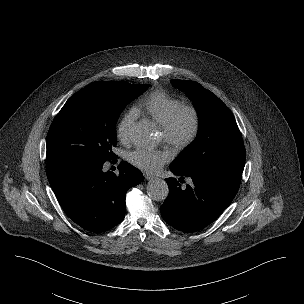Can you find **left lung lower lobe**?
<instances>
[{
    "label": "left lung lower lobe",
    "instance_id": "1",
    "mask_svg": "<svg viewBox=\"0 0 304 304\" xmlns=\"http://www.w3.org/2000/svg\"><path fill=\"white\" fill-rule=\"evenodd\" d=\"M170 170L180 178H166L169 195L161 206V215L170 226L186 233L213 222L235 197L242 177L226 171L182 172L173 165ZM184 177L193 181L186 188L180 184Z\"/></svg>",
    "mask_w": 304,
    "mask_h": 304
}]
</instances>
